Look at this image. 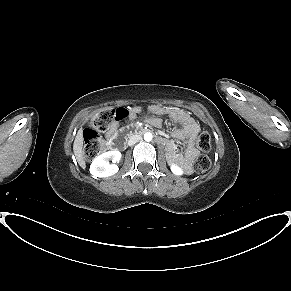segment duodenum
I'll list each match as a JSON object with an SVG mask.
<instances>
[{"instance_id": "duodenum-1", "label": "duodenum", "mask_w": 291, "mask_h": 291, "mask_svg": "<svg viewBox=\"0 0 291 291\" xmlns=\"http://www.w3.org/2000/svg\"><path fill=\"white\" fill-rule=\"evenodd\" d=\"M151 129L149 127H145V125L141 122L129 124L122 131L118 132L115 136L114 140L110 142L109 149L113 153H120L124 151L126 144L125 141L132 137L133 134H137L139 136L149 134ZM153 139L156 143H161L163 138L158 134L153 136Z\"/></svg>"}]
</instances>
